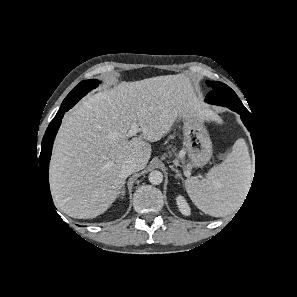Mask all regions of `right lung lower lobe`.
Returning a JSON list of instances; mask_svg holds the SVG:
<instances>
[{
    "label": "right lung lower lobe",
    "instance_id": "right-lung-lower-lobe-1",
    "mask_svg": "<svg viewBox=\"0 0 297 297\" xmlns=\"http://www.w3.org/2000/svg\"><path fill=\"white\" fill-rule=\"evenodd\" d=\"M65 112H66L65 110L58 111L54 119L49 124L42 140L41 153L37 162L39 163L40 175L44 185L43 187L45 188L44 191L49 196L51 202H52V198H51L49 182H48L49 161L51 157L53 141L55 139V136L61 124V119L63 118Z\"/></svg>",
    "mask_w": 297,
    "mask_h": 297
}]
</instances>
